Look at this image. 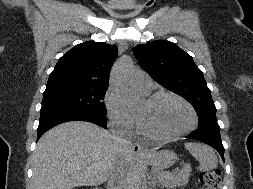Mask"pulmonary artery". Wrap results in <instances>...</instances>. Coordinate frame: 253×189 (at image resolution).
<instances>
[{
  "instance_id": "1",
  "label": "pulmonary artery",
  "mask_w": 253,
  "mask_h": 189,
  "mask_svg": "<svg viewBox=\"0 0 253 189\" xmlns=\"http://www.w3.org/2000/svg\"><path fill=\"white\" fill-rule=\"evenodd\" d=\"M135 85L144 92H149L152 88V80L146 74H142L136 77Z\"/></svg>"
}]
</instances>
